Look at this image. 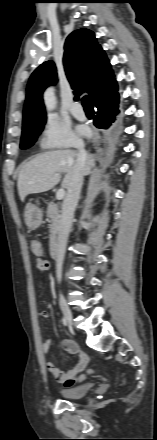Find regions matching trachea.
<instances>
[{
    "instance_id": "3493384b",
    "label": "trachea",
    "mask_w": 157,
    "mask_h": 440,
    "mask_svg": "<svg viewBox=\"0 0 157 440\" xmlns=\"http://www.w3.org/2000/svg\"><path fill=\"white\" fill-rule=\"evenodd\" d=\"M82 104L86 113H94L92 101L88 96L83 97Z\"/></svg>"
}]
</instances>
